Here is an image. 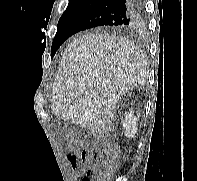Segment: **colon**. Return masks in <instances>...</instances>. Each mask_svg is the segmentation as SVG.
Returning <instances> with one entry per match:
<instances>
[{
    "label": "colon",
    "mask_w": 197,
    "mask_h": 181,
    "mask_svg": "<svg viewBox=\"0 0 197 181\" xmlns=\"http://www.w3.org/2000/svg\"><path fill=\"white\" fill-rule=\"evenodd\" d=\"M89 156L84 151L83 158ZM91 167L89 173L82 181H106L111 177L118 167L116 153L112 148L99 150L95 155L90 157Z\"/></svg>",
    "instance_id": "obj_1"
}]
</instances>
